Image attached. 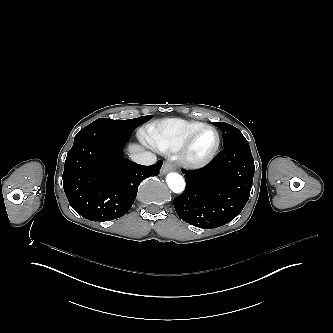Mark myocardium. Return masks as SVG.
Returning a JSON list of instances; mask_svg holds the SVG:
<instances>
[{
	"label": "myocardium",
	"instance_id": "myocardium-1",
	"mask_svg": "<svg viewBox=\"0 0 333 333\" xmlns=\"http://www.w3.org/2000/svg\"><path fill=\"white\" fill-rule=\"evenodd\" d=\"M206 128H210L215 132L216 137H217L216 145H215L214 149L212 150V152L209 155H207L206 157L201 158V159L193 158L189 152L190 145H191L193 139L195 138V136L200 131H202L203 129H206ZM220 146H221V135H220L218 129L213 125L203 124V125L199 126L198 128L192 130L190 133H188L186 135V137L184 138V140L182 141V143L178 149V161L182 166H184L186 168H191V169L203 168V167L209 165L215 159V157L220 149Z\"/></svg>",
	"mask_w": 333,
	"mask_h": 333
}]
</instances>
